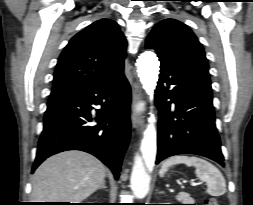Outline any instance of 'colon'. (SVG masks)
I'll list each match as a JSON object with an SVG mask.
<instances>
[{
    "instance_id": "5ec220e1",
    "label": "colon",
    "mask_w": 253,
    "mask_h": 205,
    "mask_svg": "<svg viewBox=\"0 0 253 205\" xmlns=\"http://www.w3.org/2000/svg\"><path fill=\"white\" fill-rule=\"evenodd\" d=\"M205 205H219V204L215 199L209 198V199L205 200Z\"/></svg>"
}]
</instances>
